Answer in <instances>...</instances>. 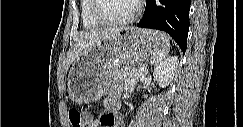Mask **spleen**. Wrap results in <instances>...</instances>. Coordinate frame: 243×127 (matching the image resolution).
<instances>
[{"instance_id":"spleen-1","label":"spleen","mask_w":243,"mask_h":127,"mask_svg":"<svg viewBox=\"0 0 243 127\" xmlns=\"http://www.w3.org/2000/svg\"><path fill=\"white\" fill-rule=\"evenodd\" d=\"M152 39L154 51L151 55V63L158 66L167 58L170 43L167 35L161 32H154Z\"/></svg>"}]
</instances>
